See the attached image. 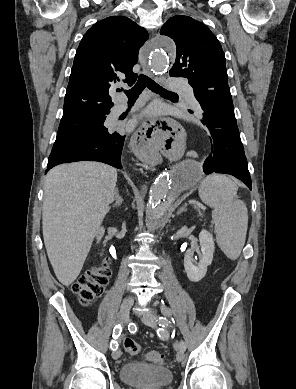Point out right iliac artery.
I'll use <instances>...</instances> for the list:
<instances>
[{
    "label": "right iliac artery",
    "mask_w": 296,
    "mask_h": 389,
    "mask_svg": "<svg viewBox=\"0 0 296 389\" xmlns=\"http://www.w3.org/2000/svg\"><path fill=\"white\" fill-rule=\"evenodd\" d=\"M122 331V327L120 324L116 325L113 329V338L117 339ZM110 348L115 351L118 348V342L116 340L111 341Z\"/></svg>",
    "instance_id": "obj_1"
}]
</instances>
